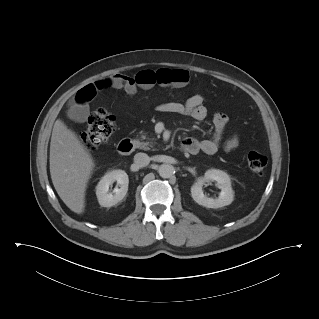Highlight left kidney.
I'll return each mask as SVG.
<instances>
[{"mask_svg":"<svg viewBox=\"0 0 319 319\" xmlns=\"http://www.w3.org/2000/svg\"><path fill=\"white\" fill-rule=\"evenodd\" d=\"M207 181H216L217 187L221 189L218 198L213 199L204 195L202 187ZM192 198L196 203L207 208H220L227 206L233 201V190L230 177L222 170H207L203 177H199L191 187Z\"/></svg>","mask_w":319,"mask_h":319,"instance_id":"1","label":"left kidney"}]
</instances>
